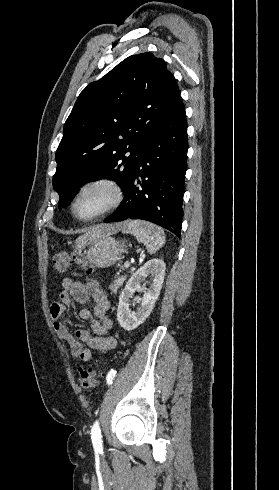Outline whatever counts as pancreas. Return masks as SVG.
<instances>
[{"mask_svg":"<svg viewBox=\"0 0 279 490\" xmlns=\"http://www.w3.org/2000/svg\"><path fill=\"white\" fill-rule=\"evenodd\" d=\"M124 280V276H117V280H114V282H112V286H109L110 290H113V292H117L119 286H122Z\"/></svg>","mask_w":279,"mask_h":490,"instance_id":"pancreas-1","label":"pancreas"}]
</instances>
